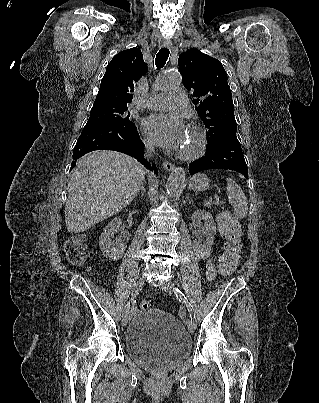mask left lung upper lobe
<instances>
[{"mask_svg":"<svg viewBox=\"0 0 319 403\" xmlns=\"http://www.w3.org/2000/svg\"><path fill=\"white\" fill-rule=\"evenodd\" d=\"M183 85L193 93L195 110L208 129V145L236 134L232 94L222 63L192 49L178 59Z\"/></svg>","mask_w":319,"mask_h":403,"instance_id":"obj_1","label":"left lung upper lobe"}]
</instances>
